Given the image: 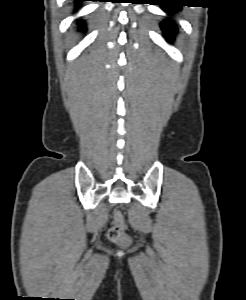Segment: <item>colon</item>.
Listing matches in <instances>:
<instances>
[{
    "label": "colon",
    "instance_id": "obj_1",
    "mask_svg": "<svg viewBox=\"0 0 246 300\" xmlns=\"http://www.w3.org/2000/svg\"><path fill=\"white\" fill-rule=\"evenodd\" d=\"M107 236L112 242L117 244H125L128 242L124 218L119 209H116L113 213V225L109 228Z\"/></svg>",
    "mask_w": 246,
    "mask_h": 300
}]
</instances>
